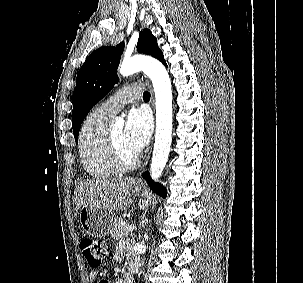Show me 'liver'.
<instances>
[{"instance_id": "obj_1", "label": "liver", "mask_w": 303, "mask_h": 283, "mask_svg": "<svg viewBox=\"0 0 303 283\" xmlns=\"http://www.w3.org/2000/svg\"><path fill=\"white\" fill-rule=\"evenodd\" d=\"M135 180L131 177L111 180H83L74 191L75 215L83 206H93L108 211H125L131 206Z\"/></svg>"}]
</instances>
